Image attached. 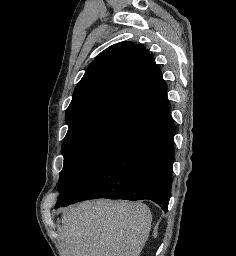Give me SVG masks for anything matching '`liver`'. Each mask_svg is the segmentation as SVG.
<instances>
[{
  "instance_id": "liver-1",
  "label": "liver",
  "mask_w": 236,
  "mask_h": 256,
  "mask_svg": "<svg viewBox=\"0 0 236 256\" xmlns=\"http://www.w3.org/2000/svg\"><path fill=\"white\" fill-rule=\"evenodd\" d=\"M152 214L141 202L90 200L69 206L58 232L71 256H140Z\"/></svg>"
}]
</instances>
